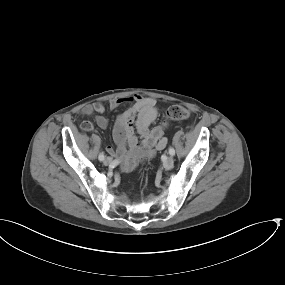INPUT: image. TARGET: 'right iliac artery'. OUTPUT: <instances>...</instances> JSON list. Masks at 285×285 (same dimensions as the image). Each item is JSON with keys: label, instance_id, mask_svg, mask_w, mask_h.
Listing matches in <instances>:
<instances>
[{"label": "right iliac artery", "instance_id": "82829eb1", "mask_svg": "<svg viewBox=\"0 0 285 285\" xmlns=\"http://www.w3.org/2000/svg\"><path fill=\"white\" fill-rule=\"evenodd\" d=\"M98 158H99L100 161H103L104 160V154L100 153Z\"/></svg>", "mask_w": 285, "mask_h": 285}]
</instances>
